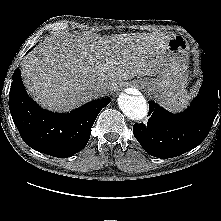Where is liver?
Wrapping results in <instances>:
<instances>
[{
	"instance_id": "liver-1",
	"label": "liver",
	"mask_w": 221,
	"mask_h": 221,
	"mask_svg": "<svg viewBox=\"0 0 221 221\" xmlns=\"http://www.w3.org/2000/svg\"><path fill=\"white\" fill-rule=\"evenodd\" d=\"M162 34L47 37L23 60L27 92L42 107L64 112L98 97L93 86L114 91L136 75L154 76L169 59Z\"/></svg>"
}]
</instances>
